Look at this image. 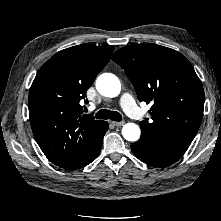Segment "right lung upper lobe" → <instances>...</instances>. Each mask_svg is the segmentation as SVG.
Listing matches in <instances>:
<instances>
[{"mask_svg": "<svg viewBox=\"0 0 221 221\" xmlns=\"http://www.w3.org/2000/svg\"><path fill=\"white\" fill-rule=\"evenodd\" d=\"M113 46L82 44L57 52L38 71L29 93L34 137L61 168L81 163L90 153L92 136L103 121L83 114L81 100L104 68Z\"/></svg>", "mask_w": 221, "mask_h": 221, "instance_id": "right-lung-upper-lobe-1", "label": "right lung upper lobe"}]
</instances>
